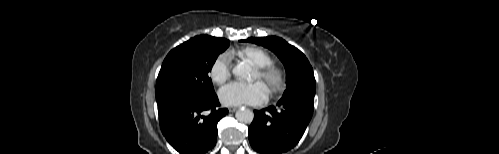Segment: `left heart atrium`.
<instances>
[{"instance_id": "left-heart-atrium-1", "label": "left heart atrium", "mask_w": 499, "mask_h": 154, "mask_svg": "<svg viewBox=\"0 0 499 154\" xmlns=\"http://www.w3.org/2000/svg\"><path fill=\"white\" fill-rule=\"evenodd\" d=\"M219 99L224 105H261L268 99V91L260 82H232L219 90Z\"/></svg>"}]
</instances>
